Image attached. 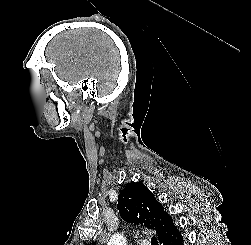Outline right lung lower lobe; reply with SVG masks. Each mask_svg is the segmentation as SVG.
I'll return each mask as SVG.
<instances>
[{
    "label": "right lung lower lobe",
    "instance_id": "right-lung-lower-lobe-1",
    "mask_svg": "<svg viewBox=\"0 0 251 245\" xmlns=\"http://www.w3.org/2000/svg\"><path fill=\"white\" fill-rule=\"evenodd\" d=\"M162 245H183V239L179 230L174 231V233L166 240H164Z\"/></svg>",
    "mask_w": 251,
    "mask_h": 245
}]
</instances>
